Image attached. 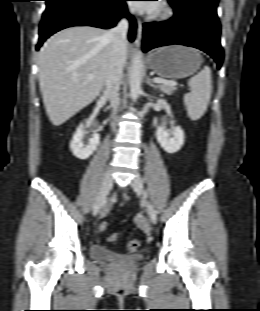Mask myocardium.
I'll list each match as a JSON object with an SVG mask.
<instances>
[{"label":"myocardium","instance_id":"f54148a6","mask_svg":"<svg viewBox=\"0 0 260 311\" xmlns=\"http://www.w3.org/2000/svg\"><path fill=\"white\" fill-rule=\"evenodd\" d=\"M172 15H173L172 8L167 3H163L158 9L156 17L160 20H167Z\"/></svg>","mask_w":260,"mask_h":311}]
</instances>
